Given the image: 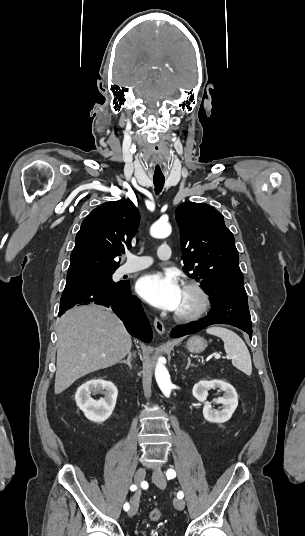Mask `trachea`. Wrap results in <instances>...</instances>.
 <instances>
[{"mask_svg": "<svg viewBox=\"0 0 305 536\" xmlns=\"http://www.w3.org/2000/svg\"><path fill=\"white\" fill-rule=\"evenodd\" d=\"M153 183L155 186V193L159 194L163 189L165 178L164 177H153Z\"/></svg>", "mask_w": 305, "mask_h": 536, "instance_id": "obj_1", "label": "trachea"}]
</instances>
